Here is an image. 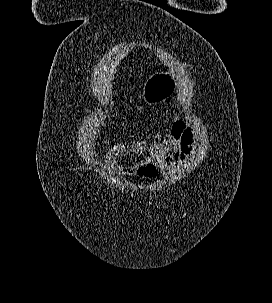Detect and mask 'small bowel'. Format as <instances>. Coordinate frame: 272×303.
<instances>
[{"label":"small bowel","mask_w":272,"mask_h":303,"mask_svg":"<svg viewBox=\"0 0 272 303\" xmlns=\"http://www.w3.org/2000/svg\"><path fill=\"white\" fill-rule=\"evenodd\" d=\"M193 150V127L185 119H176L169 132L158 135L152 144L139 140L114 145L106 154V164L114 168L118 158L138 156L141 158L129 166H118V173L130 175L139 167L153 165L164 174H172L189 158Z\"/></svg>","instance_id":"obj_1"}]
</instances>
